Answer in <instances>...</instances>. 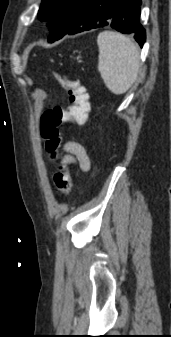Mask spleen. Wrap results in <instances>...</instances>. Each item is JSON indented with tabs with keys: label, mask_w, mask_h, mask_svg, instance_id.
<instances>
[{
	"label": "spleen",
	"mask_w": 171,
	"mask_h": 337,
	"mask_svg": "<svg viewBox=\"0 0 171 337\" xmlns=\"http://www.w3.org/2000/svg\"><path fill=\"white\" fill-rule=\"evenodd\" d=\"M97 44L98 70L106 87L116 95L126 93L140 68L138 47L128 37L113 31L99 33Z\"/></svg>",
	"instance_id": "1"
}]
</instances>
